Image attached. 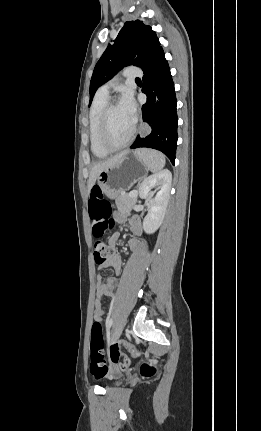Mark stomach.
I'll return each instance as SVG.
<instances>
[{"label": "stomach", "instance_id": "1", "mask_svg": "<svg viewBox=\"0 0 261 431\" xmlns=\"http://www.w3.org/2000/svg\"><path fill=\"white\" fill-rule=\"evenodd\" d=\"M148 171L149 167L137 151H128L115 166L100 173L98 185L102 195L114 198L143 179Z\"/></svg>", "mask_w": 261, "mask_h": 431}]
</instances>
